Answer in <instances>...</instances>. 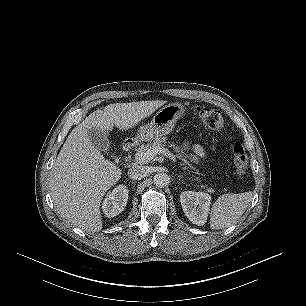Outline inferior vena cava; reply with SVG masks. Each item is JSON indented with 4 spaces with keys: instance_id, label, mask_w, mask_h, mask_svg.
Segmentation results:
<instances>
[{
    "instance_id": "1",
    "label": "inferior vena cava",
    "mask_w": 306,
    "mask_h": 306,
    "mask_svg": "<svg viewBox=\"0 0 306 306\" xmlns=\"http://www.w3.org/2000/svg\"><path fill=\"white\" fill-rule=\"evenodd\" d=\"M149 174L146 166L136 165L128 170V176L133 180H141Z\"/></svg>"
}]
</instances>
